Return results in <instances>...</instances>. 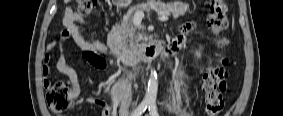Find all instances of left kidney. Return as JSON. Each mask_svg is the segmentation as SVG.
<instances>
[{
    "label": "left kidney",
    "instance_id": "left-kidney-1",
    "mask_svg": "<svg viewBox=\"0 0 283 116\" xmlns=\"http://www.w3.org/2000/svg\"><path fill=\"white\" fill-rule=\"evenodd\" d=\"M196 55H197V57H200L201 55H200V52H196Z\"/></svg>",
    "mask_w": 283,
    "mask_h": 116
}]
</instances>
